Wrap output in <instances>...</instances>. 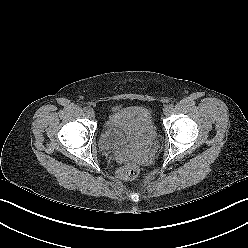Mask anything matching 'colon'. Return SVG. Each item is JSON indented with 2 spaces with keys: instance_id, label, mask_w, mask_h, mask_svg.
I'll use <instances>...</instances> for the list:
<instances>
[{
  "instance_id": "colon-1",
  "label": "colon",
  "mask_w": 248,
  "mask_h": 248,
  "mask_svg": "<svg viewBox=\"0 0 248 248\" xmlns=\"http://www.w3.org/2000/svg\"><path fill=\"white\" fill-rule=\"evenodd\" d=\"M140 169L135 163H127L117 171V175L123 180H132L139 175Z\"/></svg>"
}]
</instances>
